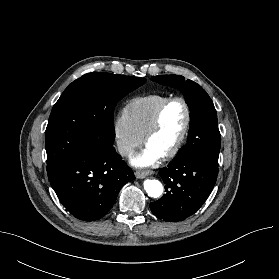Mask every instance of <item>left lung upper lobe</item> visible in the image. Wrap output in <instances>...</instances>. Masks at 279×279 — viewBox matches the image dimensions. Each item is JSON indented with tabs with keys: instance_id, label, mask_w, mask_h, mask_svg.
<instances>
[{
	"instance_id": "left-lung-upper-lobe-1",
	"label": "left lung upper lobe",
	"mask_w": 279,
	"mask_h": 279,
	"mask_svg": "<svg viewBox=\"0 0 279 279\" xmlns=\"http://www.w3.org/2000/svg\"><path fill=\"white\" fill-rule=\"evenodd\" d=\"M151 79L182 91L190 109L188 142L178 151L176 157L196 155L218 164L220 132L217 113L206 91L194 81L185 80L179 75H159Z\"/></svg>"
}]
</instances>
